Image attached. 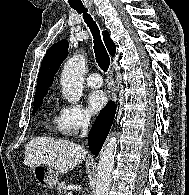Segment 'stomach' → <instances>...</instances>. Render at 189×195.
Listing matches in <instances>:
<instances>
[{
	"label": "stomach",
	"instance_id": "0dacf381",
	"mask_svg": "<svg viewBox=\"0 0 189 195\" xmlns=\"http://www.w3.org/2000/svg\"><path fill=\"white\" fill-rule=\"evenodd\" d=\"M34 177L38 184L46 189H52L58 184L59 173L47 164L33 167Z\"/></svg>",
	"mask_w": 189,
	"mask_h": 195
}]
</instances>
